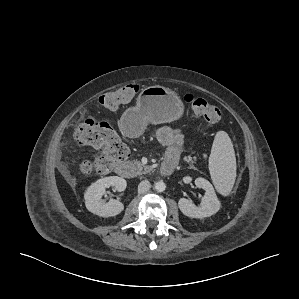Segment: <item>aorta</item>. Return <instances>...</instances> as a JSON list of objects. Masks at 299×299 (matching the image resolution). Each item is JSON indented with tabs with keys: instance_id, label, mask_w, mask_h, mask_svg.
Instances as JSON below:
<instances>
[{
	"instance_id": "aorta-1",
	"label": "aorta",
	"mask_w": 299,
	"mask_h": 299,
	"mask_svg": "<svg viewBox=\"0 0 299 299\" xmlns=\"http://www.w3.org/2000/svg\"><path fill=\"white\" fill-rule=\"evenodd\" d=\"M154 188L158 192H163L166 189V185L163 181H158L155 183Z\"/></svg>"
}]
</instances>
